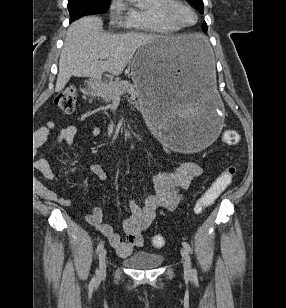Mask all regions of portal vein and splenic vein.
<instances>
[{
    "instance_id": "portal-vein-and-splenic-vein-1",
    "label": "portal vein and splenic vein",
    "mask_w": 286,
    "mask_h": 308,
    "mask_svg": "<svg viewBox=\"0 0 286 308\" xmlns=\"http://www.w3.org/2000/svg\"><path fill=\"white\" fill-rule=\"evenodd\" d=\"M109 57V54L107 52L100 53L99 58L101 59H107Z\"/></svg>"
}]
</instances>
